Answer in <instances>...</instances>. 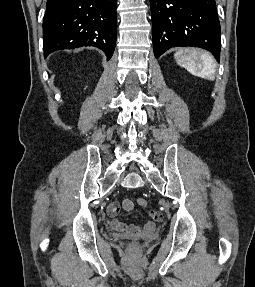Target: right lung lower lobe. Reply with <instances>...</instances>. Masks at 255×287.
I'll list each match as a JSON object with an SVG mask.
<instances>
[{"instance_id": "right-lung-lower-lobe-1", "label": "right lung lower lobe", "mask_w": 255, "mask_h": 287, "mask_svg": "<svg viewBox=\"0 0 255 287\" xmlns=\"http://www.w3.org/2000/svg\"><path fill=\"white\" fill-rule=\"evenodd\" d=\"M44 56L56 50L95 46L110 59L117 37L116 0H47Z\"/></svg>"}]
</instances>
